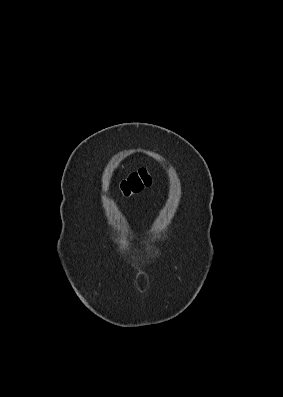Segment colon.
I'll return each mask as SVG.
<instances>
[{
    "label": "colon",
    "instance_id": "1",
    "mask_svg": "<svg viewBox=\"0 0 283 397\" xmlns=\"http://www.w3.org/2000/svg\"><path fill=\"white\" fill-rule=\"evenodd\" d=\"M153 181V173L149 169L140 168L121 182L119 192L123 197H130L149 187Z\"/></svg>",
    "mask_w": 283,
    "mask_h": 397
}]
</instances>
